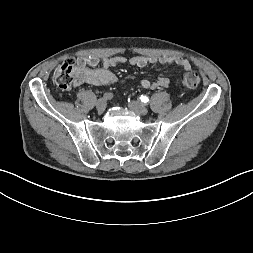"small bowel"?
<instances>
[{
	"mask_svg": "<svg viewBox=\"0 0 253 253\" xmlns=\"http://www.w3.org/2000/svg\"><path fill=\"white\" fill-rule=\"evenodd\" d=\"M157 62L163 65H177L184 71L191 69L190 62L182 57L162 56L160 58H156L135 56L127 58L125 56H114L100 59L94 56H82L79 58L81 67L76 75V84L110 86L117 83H123L124 81H120L108 69L125 63H129L139 68H144ZM169 83L170 81L167 77L160 75L154 81L142 79L139 84L144 89H159L167 88Z\"/></svg>",
	"mask_w": 253,
	"mask_h": 253,
	"instance_id": "obj_1",
	"label": "small bowel"
}]
</instances>
